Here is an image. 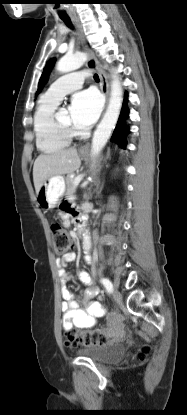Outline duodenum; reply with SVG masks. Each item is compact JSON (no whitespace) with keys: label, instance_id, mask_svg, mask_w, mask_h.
Instances as JSON below:
<instances>
[{"label":"duodenum","instance_id":"410a0bca","mask_svg":"<svg viewBox=\"0 0 187 415\" xmlns=\"http://www.w3.org/2000/svg\"><path fill=\"white\" fill-rule=\"evenodd\" d=\"M84 225V219L82 217H78L75 219V235L78 237L81 234L82 228Z\"/></svg>","mask_w":187,"mask_h":415}]
</instances>
